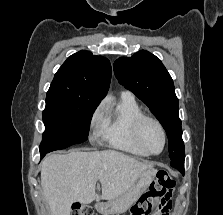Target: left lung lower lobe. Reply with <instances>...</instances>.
<instances>
[{"mask_svg":"<svg viewBox=\"0 0 223 215\" xmlns=\"http://www.w3.org/2000/svg\"><path fill=\"white\" fill-rule=\"evenodd\" d=\"M172 167L178 169L184 175V166H172Z\"/></svg>","mask_w":223,"mask_h":215,"instance_id":"1","label":"left lung lower lobe"}]
</instances>
